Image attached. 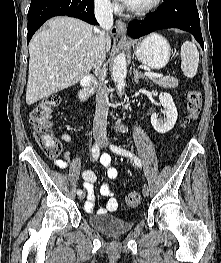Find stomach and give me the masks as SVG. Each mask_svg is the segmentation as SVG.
<instances>
[{"label":"stomach","mask_w":221,"mask_h":263,"mask_svg":"<svg viewBox=\"0 0 221 263\" xmlns=\"http://www.w3.org/2000/svg\"><path fill=\"white\" fill-rule=\"evenodd\" d=\"M135 55L142 64L152 69H161L170 59L171 48L164 37L152 33L138 44Z\"/></svg>","instance_id":"0dacf381"}]
</instances>
